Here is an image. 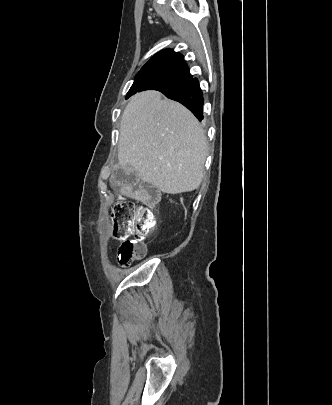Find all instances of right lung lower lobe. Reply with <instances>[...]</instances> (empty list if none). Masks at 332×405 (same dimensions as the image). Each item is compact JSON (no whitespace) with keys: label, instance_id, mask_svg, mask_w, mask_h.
Listing matches in <instances>:
<instances>
[{"label":"right lung lower lobe","instance_id":"98d812e1","mask_svg":"<svg viewBox=\"0 0 332 405\" xmlns=\"http://www.w3.org/2000/svg\"><path fill=\"white\" fill-rule=\"evenodd\" d=\"M159 91L166 97L183 104L199 121L203 119L204 99L197 78H189L177 85ZM135 93L136 91H129L126 98Z\"/></svg>","mask_w":332,"mask_h":405}]
</instances>
